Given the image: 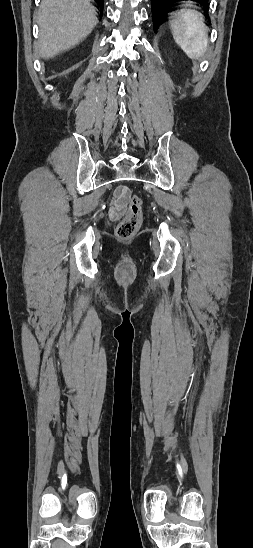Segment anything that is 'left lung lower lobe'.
Listing matches in <instances>:
<instances>
[{
	"label": "left lung lower lobe",
	"mask_w": 253,
	"mask_h": 548,
	"mask_svg": "<svg viewBox=\"0 0 253 548\" xmlns=\"http://www.w3.org/2000/svg\"><path fill=\"white\" fill-rule=\"evenodd\" d=\"M177 1L183 0H151L154 27L164 22L163 16L168 12L169 5ZM191 1L197 2V5L202 6L205 11L209 8V0Z\"/></svg>",
	"instance_id": "1"
}]
</instances>
